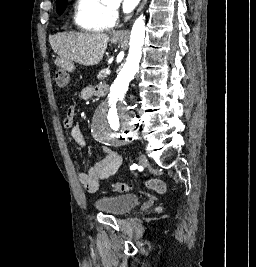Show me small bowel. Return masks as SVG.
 I'll use <instances>...</instances> for the list:
<instances>
[{
    "label": "small bowel",
    "instance_id": "small-bowel-1",
    "mask_svg": "<svg viewBox=\"0 0 256 267\" xmlns=\"http://www.w3.org/2000/svg\"><path fill=\"white\" fill-rule=\"evenodd\" d=\"M103 86H85L80 93L83 100H90L95 96L105 94ZM75 109L69 107L63 120L64 126L71 130V137L79 146H86V140L77 125L74 124ZM104 158L87 170L79 173V181L90 193L96 192L101 183L116 174L121 163V154L109 145L103 146Z\"/></svg>",
    "mask_w": 256,
    "mask_h": 267
}]
</instances>
